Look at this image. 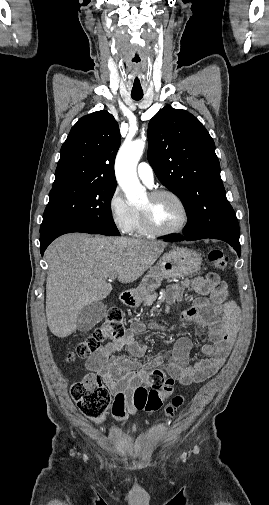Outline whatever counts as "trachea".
<instances>
[{
    "mask_svg": "<svg viewBox=\"0 0 269 505\" xmlns=\"http://www.w3.org/2000/svg\"><path fill=\"white\" fill-rule=\"evenodd\" d=\"M131 97L136 100V101H139L142 99L143 97V92H131Z\"/></svg>",
    "mask_w": 269,
    "mask_h": 505,
    "instance_id": "trachea-1",
    "label": "trachea"
}]
</instances>
